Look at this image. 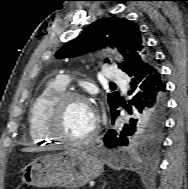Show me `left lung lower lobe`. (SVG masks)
<instances>
[{"label": "left lung lower lobe", "mask_w": 188, "mask_h": 189, "mask_svg": "<svg viewBox=\"0 0 188 189\" xmlns=\"http://www.w3.org/2000/svg\"><path fill=\"white\" fill-rule=\"evenodd\" d=\"M131 78L129 105L121 100L111 108L112 124L123 106L131 118L128 122L110 129L103 138L107 148L127 147L131 135L138 127L154 128L164 123L166 112V84L162 81L154 60L144 62L127 72Z\"/></svg>", "instance_id": "1"}]
</instances>
